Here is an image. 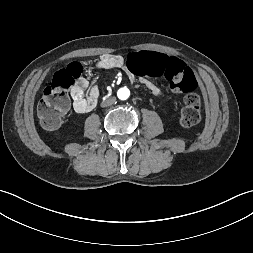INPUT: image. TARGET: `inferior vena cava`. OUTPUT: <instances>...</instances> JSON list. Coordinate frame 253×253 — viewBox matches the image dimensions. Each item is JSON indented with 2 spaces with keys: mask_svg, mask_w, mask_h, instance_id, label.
<instances>
[{
  "mask_svg": "<svg viewBox=\"0 0 253 253\" xmlns=\"http://www.w3.org/2000/svg\"><path fill=\"white\" fill-rule=\"evenodd\" d=\"M115 101H116V98H115V97L108 98L107 100H105V101L102 102L101 106H102V107L110 106V105H112Z\"/></svg>",
  "mask_w": 253,
  "mask_h": 253,
  "instance_id": "602c4592",
  "label": "inferior vena cava"
}]
</instances>
